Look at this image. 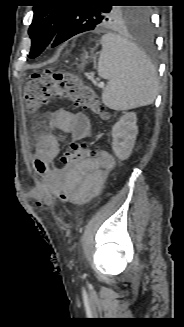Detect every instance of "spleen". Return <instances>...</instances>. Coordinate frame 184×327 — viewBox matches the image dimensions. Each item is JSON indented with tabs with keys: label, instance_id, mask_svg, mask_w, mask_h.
I'll return each instance as SVG.
<instances>
[{
	"label": "spleen",
	"instance_id": "obj_1",
	"mask_svg": "<svg viewBox=\"0 0 184 327\" xmlns=\"http://www.w3.org/2000/svg\"><path fill=\"white\" fill-rule=\"evenodd\" d=\"M101 44L98 74L109 80L102 93L103 103L114 110L152 104L158 77L151 61L134 43L118 35L105 34Z\"/></svg>",
	"mask_w": 184,
	"mask_h": 327
}]
</instances>
